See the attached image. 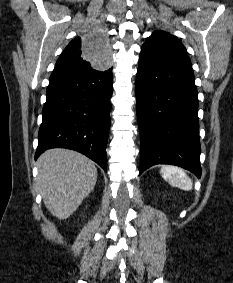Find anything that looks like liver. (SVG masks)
<instances>
[{"mask_svg":"<svg viewBox=\"0 0 233 283\" xmlns=\"http://www.w3.org/2000/svg\"><path fill=\"white\" fill-rule=\"evenodd\" d=\"M37 185L50 213L67 219L94 189L97 181L95 163L68 149L45 151L37 161Z\"/></svg>","mask_w":233,"mask_h":283,"instance_id":"1","label":"liver"}]
</instances>
